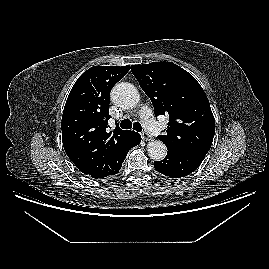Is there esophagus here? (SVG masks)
Returning <instances> with one entry per match:
<instances>
[{
    "label": "esophagus",
    "instance_id": "esophagus-1",
    "mask_svg": "<svg viewBox=\"0 0 269 269\" xmlns=\"http://www.w3.org/2000/svg\"><path fill=\"white\" fill-rule=\"evenodd\" d=\"M141 137H142V139H143L144 141H147V140H150V139H151L150 135H149L147 132H145V131H143V132L141 133Z\"/></svg>",
    "mask_w": 269,
    "mask_h": 269
}]
</instances>
